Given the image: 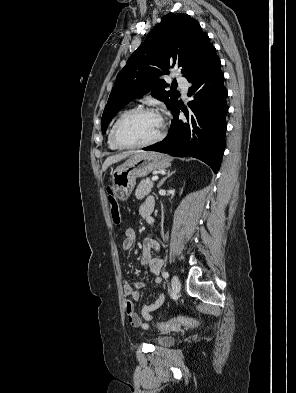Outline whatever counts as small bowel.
I'll return each instance as SVG.
<instances>
[{"instance_id": "obj_1", "label": "small bowel", "mask_w": 296, "mask_h": 393, "mask_svg": "<svg viewBox=\"0 0 296 393\" xmlns=\"http://www.w3.org/2000/svg\"><path fill=\"white\" fill-rule=\"evenodd\" d=\"M154 210V200L149 197L143 201L138 207V214L147 223H153L152 213ZM136 241V233L133 229H127L124 233V238L122 241V248L125 251L130 250ZM160 249L159 242L153 237H146L142 242V256L141 263L148 267L151 274L155 275V284L161 285L162 279L159 276L162 267V260L159 257L153 255L154 251ZM143 286V283L132 284L125 282L123 285L124 294L131 298L132 300H127L125 302V312L128 322L136 328L148 329L149 323L154 319L153 312L160 310L165 302V295L160 292L157 299L150 304H146L142 307L141 315L142 318L137 314L135 305L133 301H137L140 298L139 289Z\"/></svg>"}]
</instances>
